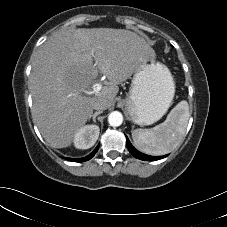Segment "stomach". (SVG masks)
<instances>
[{
  "label": "stomach",
  "mask_w": 227,
  "mask_h": 227,
  "mask_svg": "<svg viewBox=\"0 0 227 227\" xmlns=\"http://www.w3.org/2000/svg\"><path fill=\"white\" fill-rule=\"evenodd\" d=\"M175 94L171 72L156 59H147L134 72L124 100L129 119L140 126L158 121L168 110Z\"/></svg>",
  "instance_id": "1"
}]
</instances>
